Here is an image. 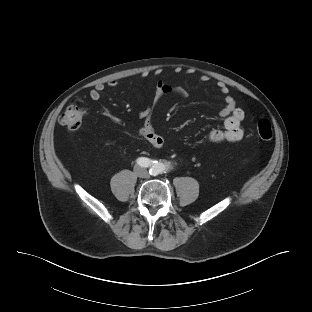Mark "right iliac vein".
<instances>
[{
	"mask_svg": "<svg viewBox=\"0 0 312 312\" xmlns=\"http://www.w3.org/2000/svg\"><path fill=\"white\" fill-rule=\"evenodd\" d=\"M136 171H137V172H140V169H139V168H136Z\"/></svg>",
	"mask_w": 312,
	"mask_h": 312,
	"instance_id": "63e3f726",
	"label": "right iliac vein"
}]
</instances>
